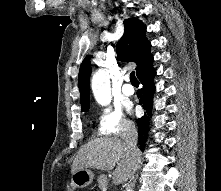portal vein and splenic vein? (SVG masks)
<instances>
[{
    "label": "portal vein and splenic vein",
    "mask_w": 221,
    "mask_h": 191,
    "mask_svg": "<svg viewBox=\"0 0 221 191\" xmlns=\"http://www.w3.org/2000/svg\"><path fill=\"white\" fill-rule=\"evenodd\" d=\"M102 191H106V187H104V188L102 189Z\"/></svg>",
    "instance_id": "1"
}]
</instances>
